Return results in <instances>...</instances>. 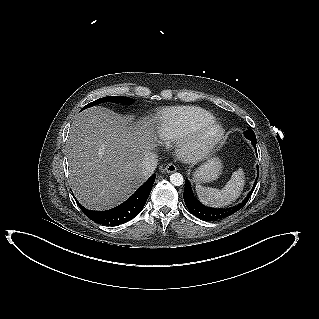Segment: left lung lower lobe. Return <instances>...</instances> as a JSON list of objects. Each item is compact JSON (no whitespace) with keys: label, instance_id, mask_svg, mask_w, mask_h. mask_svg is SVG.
Wrapping results in <instances>:
<instances>
[{"label":"left lung lower lobe","instance_id":"0a47b994","mask_svg":"<svg viewBox=\"0 0 319 319\" xmlns=\"http://www.w3.org/2000/svg\"><path fill=\"white\" fill-rule=\"evenodd\" d=\"M254 148L256 149V143H252ZM258 167V166H257ZM258 176L255 180L254 186L252 190L249 192L247 197L243 200L242 203H239L236 206L231 208H224V209H216V208H209L201 204L193 195L190 182L188 179L185 180V189H184V202L188 208V210L196 217L205 220V221H214L220 220L222 218L228 217L237 211H239L244 205L248 202L255 186L257 183Z\"/></svg>","mask_w":319,"mask_h":319}]
</instances>
